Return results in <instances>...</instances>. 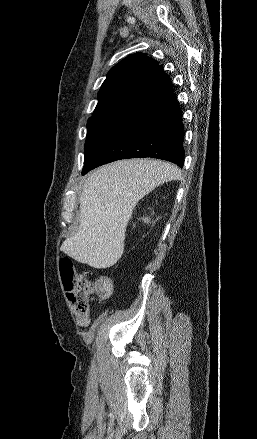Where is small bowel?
<instances>
[{
	"label": "small bowel",
	"mask_w": 257,
	"mask_h": 439,
	"mask_svg": "<svg viewBox=\"0 0 257 439\" xmlns=\"http://www.w3.org/2000/svg\"><path fill=\"white\" fill-rule=\"evenodd\" d=\"M76 320L80 326H88L90 324V321H91L90 317H80V316H77Z\"/></svg>",
	"instance_id": "c3829d8e"
}]
</instances>
